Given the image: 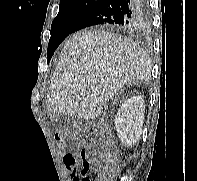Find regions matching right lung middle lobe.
<instances>
[{"label": "right lung middle lobe", "mask_w": 197, "mask_h": 181, "mask_svg": "<svg viewBox=\"0 0 197 181\" xmlns=\"http://www.w3.org/2000/svg\"><path fill=\"white\" fill-rule=\"evenodd\" d=\"M91 5H81L72 9L59 11L51 25V38L47 48L48 63L60 43L71 34L79 18Z\"/></svg>", "instance_id": "obj_1"}]
</instances>
